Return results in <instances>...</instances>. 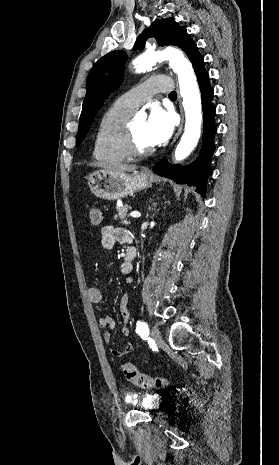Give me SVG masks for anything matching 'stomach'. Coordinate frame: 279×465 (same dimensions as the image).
<instances>
[{
	"instance_id": "obj_1",
	"label": "stomach",
	"mask_w": 279,
	"mask_h": 465,
	"mask_svg": "<svg viewBox=\"0 0 279 465\" xmlns=\"http://www.w3.org/2000/svg\"><path fill=\"white\" fill-rule=\"evenodd\" d=\"M87 184L96 197L106 200H118L150 187L152 180L143 172L129 175L124 172L116 173L100 170L91 173L87 177Z\"/></svg>"
}]
</instances>
